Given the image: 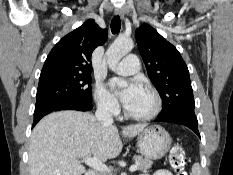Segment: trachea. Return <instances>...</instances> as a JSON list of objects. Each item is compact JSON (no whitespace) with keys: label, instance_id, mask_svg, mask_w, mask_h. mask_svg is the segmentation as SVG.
<instances>
[{"label":"trachea","instance_id":"obj_1","mask_svg":"<svg viewBox=\"0 0 233 175\" xmlns=\"http://www.w3.org/2000/svg\"><path fill=\"white\" fill-rule=\"evenodd\" d=\"M121 20L119 16H115L111 21V31L113 34H116L120 31Z\"/></svg>","mask_w":233,"mask_h":175}]
</instances>
